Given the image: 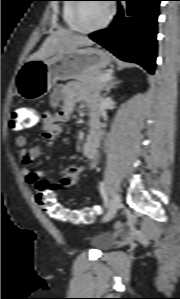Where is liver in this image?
Returning <instances> with one entry per match:
<instances>
[{"label":"liver","instance_id":"liver-1","mask_svg":"<svg viewBox=\"0 0 180 299\" xmlns=\"http://www.w3.org/2000/svg\"><path fill=\"white\" fill-rule=\"evenodd\" d=\"M92 44L93 41L85 36L59 28L45 39L39 50L33 53L28 60H46L62 51Z\"/></svg>","mask_w":180,"mask_h":299}]
</instances>
